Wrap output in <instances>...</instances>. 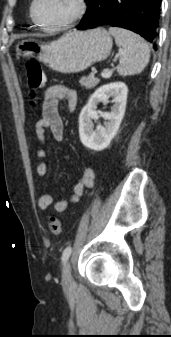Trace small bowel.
<instances>
[{
  "label": "small bowel",
  "mask_w": 171,
  "mask_h": 337,
  "mask_svg": "<svg viewBox=\"0 0 171 337\" xmlns=\"http://www.w3.org/2000/svg\"><path fill=\"white\" fill-rule=\"evenodd\" d=\"M65 100L68 108L73 111L78 103L77 92L64 85H53L45 92L42 105L41 118L35 124V133L39 142L37 157L40 162L37 165V173L40 177H45L48 172L47 164L43 161L46 157L44 145L46 143L45 131L48 130L52 140L60 141L63 138V122L59 113V101ZM95 183V171L91 167L84 169L82 177L73 187L72 194L68 199L54 202L52 194L45 193L38 199V207L46 210L52 207L55 211H64L71 205H76L80 201L83 192L87 188H92Z\"/></svg>",
  "instance_id": "1"
}]
</instances>
